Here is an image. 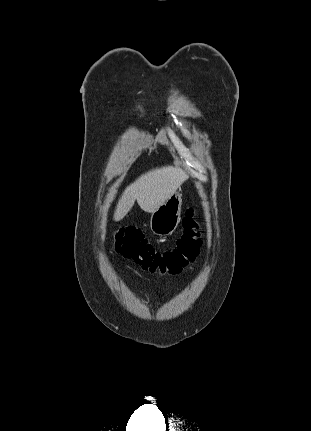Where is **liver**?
I'll list each match as a JSON object with an SVG mask.
<instances>
[{
  "label": "liver",
  "instance_id": "1",
  "mask_svg": "<svg viewBox=\"0 0 311 431\" xmlns=\"http://www.w3.org/2000/svg\"><path fill=\"white\" fill-rule=\"evenodd\" d=\"M187 178L186 172L174 166H162L141 174L122 192L113 214L114 221H121L127 216L135 202L143 212H156Z\"/></svg>",
  "mask_w": 311,
  "mask_h": 431
}]
</instances>
